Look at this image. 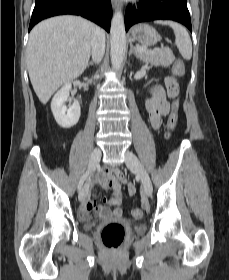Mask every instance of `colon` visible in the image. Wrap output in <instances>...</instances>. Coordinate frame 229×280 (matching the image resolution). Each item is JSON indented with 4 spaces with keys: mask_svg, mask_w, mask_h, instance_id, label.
I'll use <instances>...</instances> for the list:
<instances>
[{
    "mask_svg": "<svg viewBox=\"0 0 229 280\" xmlns=\"http://www.w3.org/2000/svg\"><path fill=\"white\" fill-rule=\"evenodd\" d=\"M175 75L183 73L182 62L178 63L174 67ZM165 84L170 97L172 98V111L167 120V135L170 136L177 127L178 123V110H179V99H178V83L175 77L169 76L165 80ZM121 177L117 175H108L104 178L103 184L106 187H111L114 183H120ZM135 217H143L144 212L136 208L133 211ZM125 231L124 228L118 223H110L106 225L101 232V239L103 244L110 249H116L120 246L124 240Z\"/></svg>",
    "mask_w": 229,
    "mask_h": 280,
    "instance_id": "obj_1",
    "label": "colon"
}]
</instances>
